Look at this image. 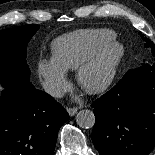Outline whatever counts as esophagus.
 Returning <instances> with one entry per match:
<instances>
[{"mask_svg":"<svg viewBox=\"0 0 155 155\" xmlns=\"http://www.w3.org/2000/svg\"><path fill=\"white\" fill-rule=\"evenodd\" d=\"M67 112L70 116H74L77 113V108L76 107H69V108H67Z\"/></svg>","mask_w":155,"mask_h":155,"instance_id":"esophagus-1","label":"esophagus"}]
</instances>
